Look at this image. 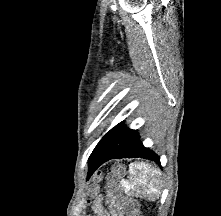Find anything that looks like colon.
<instances>
[{
    "mask_svg": "<svg viewBox=\"0 0 221 216\" xmlns=\"http://www.w3.org/2000/svg\"><path fill=\"white\" fill-rule=\"evenodd\" d=\"M107 190L109 197L116 203L122 216H141L137 201L120 194L115 176L109 179Z\"/></svg>",
    "mask_w": 221,
    "mask_h": 216,
    "instance_id": "1",
    "label": "colon"
}]
</instances>
